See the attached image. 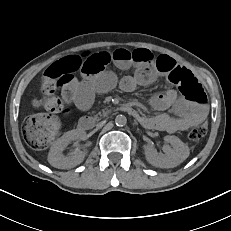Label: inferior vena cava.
Returning <instances> with one entry per match:
<instances>
[{
    "instance_id": "inferior-vena-cava-1",
    "label": "inferior vena cava",
    "mask_w": 231,
    "mask_h": 231,
    "mask_svg": "<svg viewBox=\"0 0 231 231\" xmlns=\"http://www.w3.org/2000/svg\"><path fill=\"white\" fill-rule=\"evenodd\" d=\"M105 124V119H99L98 121H96V126H101Z\"/></svg>"
}]
</instances>
